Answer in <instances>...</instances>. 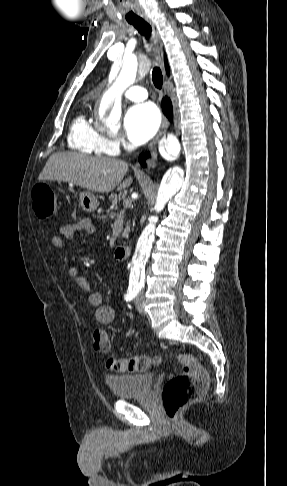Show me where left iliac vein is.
<instances>
[{
	"instance_id": "left-iliac-vein-1",
	"label": "left iliac vein",
	"mask_w": 287,
	"mask_h": 486,
	"mask_svg": "<svg viewBox=\"0 0 287 486\" xmlns=\"http://www.w3.org/2000/svg\"><path fill=\"white\" fill-rule=\"evenodd\" d=\"M135 307L141 314H145V297L143 293H140L135 299Z\"/></svg>"
}]
</instances>
